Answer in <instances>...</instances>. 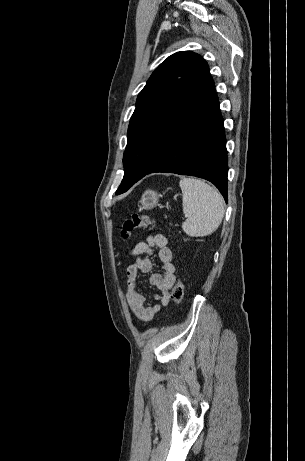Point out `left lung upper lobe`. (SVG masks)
<instances>
[{"label":"left lung upper lobe","instance_id":"5c2ea615","mask_svg":"<svg viewBox=\"0 0 305 461\" xmlns=\"http://www.w3.org/2000/svg\"><path fill=\"white\" fill-rule=\"evenodd\" d=\"M208 71L206 61L190 51L172 54L155 69L139 93L130 119L123 156L124 177L117 195L147 172L156 135Z\"/></svg>","mask_w":305,"mask_h":461}]
</instances>
